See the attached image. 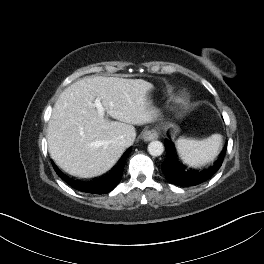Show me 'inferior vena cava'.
<instances>
[{
	"label": "inferior vena cava",
	"instance_id": "obj_1",
	"mask_svg": "<svg viewBox=\"0 0 264 264\" xmlns=\"http://www.w3.org/2000/svg\"><path fill=\"white\" fill-rule=\"evenodd\" d=\"M115 141L121 145V146H127L129 144V141L127 140V138L123 135L118 136Z\"/></svg>",
	"mask_w": 264,
	"mask_h": 264
}]
</instances>
